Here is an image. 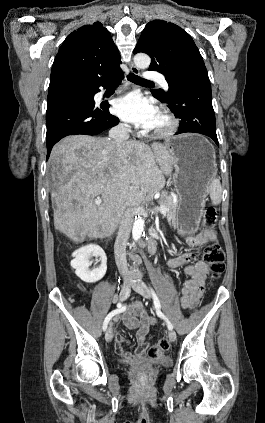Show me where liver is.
Returning <instances> with one entry per match:
<instances>
[{"label": "liver", "mask_w": 265, "mask_h": 423, "mask_svg": "<svg viewBox=\"0 0 265 423\" xmlns=\"http://www.w3.org/2000/svg\"><path fill=\"white\" fill-rule=\"evenodd\" d=\"M50 164L54 226L77 242L113 234L127 208L165 186L173 158L161 143L128 141L119 150L106 138L72 135L53 147Z\"/></svg>", "instance_id": "6515ba94"}]
</instances>
